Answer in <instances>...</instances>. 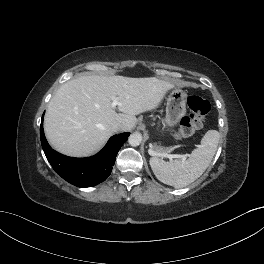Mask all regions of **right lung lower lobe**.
Listing matches in <instances>:
<instances>
[{
  "mask_svg": "<svg viewBox=\"0 0 264 264\" xmlns=\"http://www.w3.org/2000/svg\"><path fill=\"white\" fill-rule=\"evenodd\" d=\"M129 134L121 133L112 136L106 146L92 157L72 158L50 147L44 135L43 123L40 125L41 144L47 160L63 179L77 187L95 186L111 174L116 155Z\"/></svg>",
  "mask_w": 264,
  "mask_h": 264,
  "instance_id": "obj_1",
  "label": "right lung lower lobe"
}]
</instances>
